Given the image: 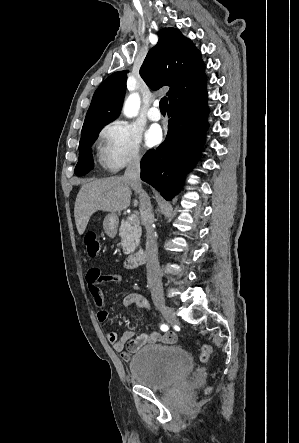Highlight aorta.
Listing matches in <instances>:
<instances>
[{
    "mask_svg": "<svg viewBox=\"0 0 299 443\" xmlns=\"http://www.w3.org/2000/svg\"><path fill=\"white\" fill-rule=\"evenodd\" d=\"M139 105H140L139 95L138 94H131L127 98V100L125 101L124 108H123L124 114L127 117H133V116L137 115Z\"/></svg>",
    "mask_w": 299,
    "mask_h": 443,
    "instance_id": "obj_1",
    "label": "aorta"
}]
</instances>
